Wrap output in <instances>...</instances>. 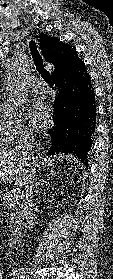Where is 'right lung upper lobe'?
Returning a JSON list of instances; mask_svg holds the SVG:
<instances>
[{
  "instance_id": "1",
  "label": "right lung upper lobe",
  "mask_w": 113,
  "mask_h": 279,
  "mask_svg": "<svg viewBox=\"0 0 113 279\" xmlns=\"http://www.w3.org/2000/svg\"><path fill=\"white\" fill-rule=\"evenodd\" d=\"M39 37L45 61L55 66V70L51 75L53 80L71 74L84 63L78 57L75 47L60 42L55 37L44 34H41Z\"/></svg>"
}]
</instances>
